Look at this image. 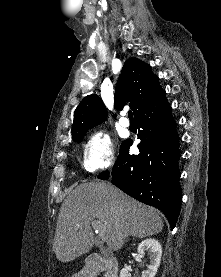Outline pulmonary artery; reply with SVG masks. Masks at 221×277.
I'll list each match as a JSON object with an SVG mask.
<instances>
[{
	"instance_id": "obj_1",
	"label": "pulmonary artery",
	"mask_w": 221,
	"mask_h": 277,
	"mask_svg": "<svg viewBox=\"0 0 221 277\" xmlns=\"http://www.w3.org/2000/svg\"><path fill=\"white\" fill-rule=\"evenodd\" d=\"M119 123L122 127L128 128L130 126L129 120L125 117V112H122V116L119 119Z\"/></svg>"
}]
</instances>
